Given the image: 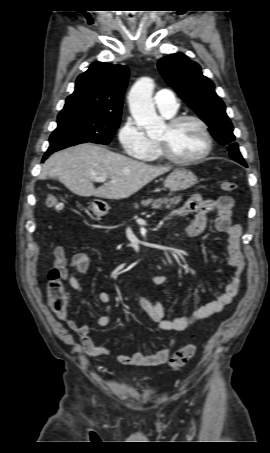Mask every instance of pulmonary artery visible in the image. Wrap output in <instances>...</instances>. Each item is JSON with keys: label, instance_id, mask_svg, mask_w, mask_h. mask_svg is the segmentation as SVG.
<instances>
[{"label": "pulmonary artery", "instance_id": "pulmonary-artery-1", "mask_svg": "<svg viewBox=\"0 0 270 453\" xmlns=\"http://www.w3.org/2000/svg\"><path fill=\"white\" fill-rule=\"evenodd\" d=\"M154 103L159 111L167 117L174 115L178 110L175 94L168 89L158 91L154 96Z\"/></svg>", "mask_w": 270, "mask_h": 453}]
</instances>
